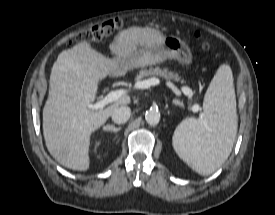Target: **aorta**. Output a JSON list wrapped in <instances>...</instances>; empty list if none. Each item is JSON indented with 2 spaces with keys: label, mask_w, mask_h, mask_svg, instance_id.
Wrapping results in <instances>:
<instances>
[{
  "label": "aorta",
  "mask_w": 275,
  "mask_h": 215,
  "mask_svg": "<svg viewBox=\"0 0 275 215\" xmlns=\"http://www.w3.org/2000/svg\"><path fill=\"white\" fill-rule=\"evenodd\" d=\"M145 120L149 125H157L160 120V113L156 109H150L145 114Z\"/></svg>",
  "instance_id": "obj_1"
}]
</instances>
